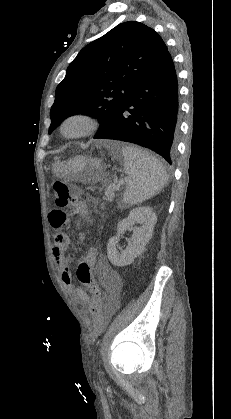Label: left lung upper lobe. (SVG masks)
I'll return each instance as SVG.
<instances>
[{
  "mask_svg": "<svg viewBox=\"0 0 231 419\" xmlns=\"http://www.w3.org/2000/svg\"><path fill=\"white\" fill-rule=\"evenodd\" d=\"M167 52L162 38L136 21L119 24L85 46L56 88L49 134L78 113L98 117V133L104 130L134 85Z\"/></svg>",
  "mask_w": 231,
  "mask_h": 419,
  "instance_id": "1",
  "label": "left lung upper lobe"
}]
</instances>
